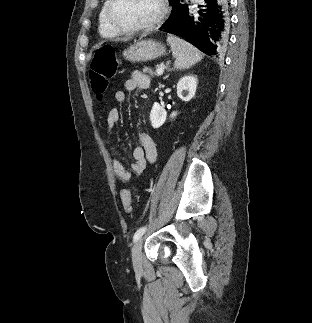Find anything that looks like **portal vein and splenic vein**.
<instances>
[{
	"instance_id": "portal-vein-and-splenic-vein-1",
	"label": "portal vein and splenic vein",
	"mask_w": 312,
	"mask_h": 323,
	"mask_svg": "<svg viewBox=\"0 0 312 323\" xmlns=\"http://www.w3.org/2000/svg\"><path fill=\"white\" fill-rule=\"evenodd\" d=\"M157 72V76H162L163 72H164V68H158V70H156Z\"/></svg>"
}]
</instances>
